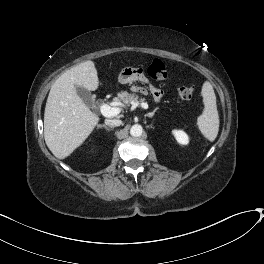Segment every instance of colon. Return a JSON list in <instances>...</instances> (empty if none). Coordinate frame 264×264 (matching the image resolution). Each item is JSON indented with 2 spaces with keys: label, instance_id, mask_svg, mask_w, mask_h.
<instances>
[{
  "label": "colon",
  "instance_id": "obj_1",
  "mask_svg": "<svg viewBox=\"0 0 264 264\" xmlns=\"http://www.w3.org/2000/svg\"><path fill=\"white\" fill-rule=\"evenodd\" d=\"M148 74L155 80H165L168 77V70L162 61L154 60L148 68ZM178 94L181 99L189 101L194 96V89L189 86H180Z\"/></svg>",
  "mask_w": 264,
  "mask_h": 264
}]
</instances>
